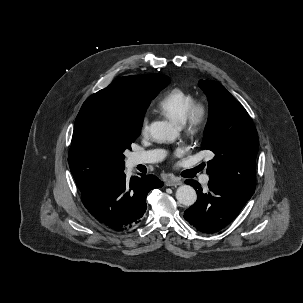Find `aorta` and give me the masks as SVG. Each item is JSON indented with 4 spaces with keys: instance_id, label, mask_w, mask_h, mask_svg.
I'll return each mask as SVG.
<instances>
[{
    "instance_id": "obj_1",
    "label": "aorta",
    "mask_w": 303,
    "mask_h": 303,
    "mask_svg": "<svg viewBox=\"0 0 303 303\" xmlns=\"http://www.w3.org/2000/svg\"><path fill=\"white\" fill-rule=\"evenodd\" d=\"M150 135L159 142L174 141L178 136L177 129L167 121H155L150 125ZM177 201L185 206H192L197 194L190 185H181L175 193Z\"/></svg>"
}]
</instances>
